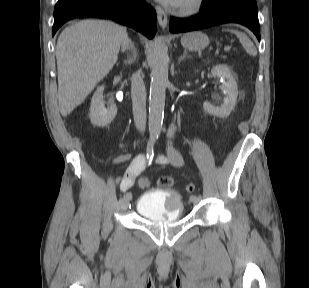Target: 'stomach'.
I'll return each instance as SVG.
<instances>
[{
    "instance_id": "1",
    "label": "stomach",
    "mask_w": 309,
    "mask_h": 288,
    "mask_svg": "<svg viewBox=\"0 0 309 288\" xmlns=\"http://www.w3.org/2000/svg\"><path fill=\"white\" fill-rule=\"evenodd\" d=\"M181 44L185 49L197 51L207 47L209 39L205 34L195 31L183 35L181 38Z\"/></svg>"
}]
</instances>
